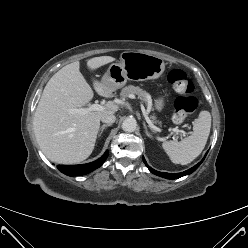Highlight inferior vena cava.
<instances>
[{"label": "inferior vena cava", "mask_w": 248, "mask_h": 248, "mask_svg": "<svg viewBox=\"0 0 248 248\" xmlns=\"http://www.w3.org/2000/svg\"><path fill=\"white\" fill-rule=\"evenodd\" d=\"M116 120L115 115L113 114H109V115H104L101 118V121L107 124H113Z\"/></svg>", "instance_id": "obj_1"}]
</instances>
